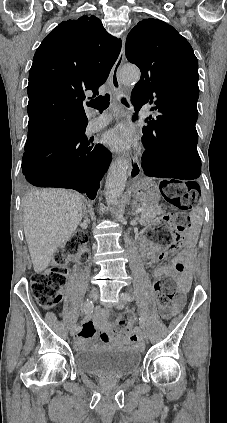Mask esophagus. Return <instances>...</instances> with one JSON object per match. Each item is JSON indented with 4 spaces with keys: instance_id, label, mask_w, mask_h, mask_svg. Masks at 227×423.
<instances>
[{
    "instance_id": "34e87169",
    "label": "esophagus",
    "mask_w": 227,
    "mask_h": 423,
    "mask_svg": "<svg viewBox=\"0 0 227 423\" xmlns=\"http://www.w3.org/2000/svg\"><path fill=\"white\" fill-rule=\"evenodd\" d=\"M125 40H126V34L122 35V47H121V51H120V55L116 61V63L114 64L111 73H110V83L112 85V89L114 92L119 93L122 90V86L120 83V79H119V70L120 67L122 66L124 59H125ZM116 109L119 108V106L115 107ZM132 142L129 141H124L123 142V147L124 148H129L132 147ZM127 160H128V164H129V177L132 180H135L136 178L139 177V175L141 174V166L139 163V159L137 157V155L135 154L134 151H130L127 155Z\"/></svg>"
}]
</instances>
